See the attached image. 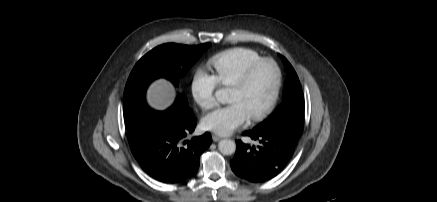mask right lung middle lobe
<instances>
[{
  "label": "right lung middle lobe",
  "instance_id": "dd1d6c3e",
  "mask_svg": "<svg viewBox=\"0 0 437 202\" xmlns=\"http://www.w3.org/2000/svg\"><path fill=\"white\" fill-rule=\"evenodd\" d=\"M210 45V43L198 46L163 44L148 52L137 62L124 91V120L130 139L138 135L144 119L156 112L150 109L145 101L148 85L157 78H166L177 86L179 79ZM169 109L181 113H193L186 97L180 94Z\"/></svg>",
  "mask_w": 437,
  "mask_h": 202
}]
</instances>
